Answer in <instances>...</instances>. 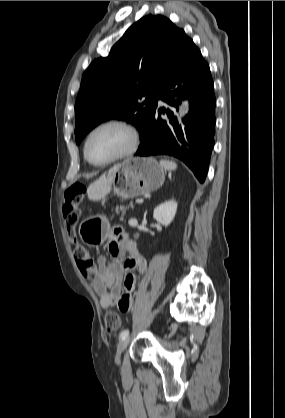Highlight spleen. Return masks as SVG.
Masks as SVG:
<instances>
[{
    "mask_svg": "<svg viewBox=\"0 0 285 418\" xmlns=\"http://www.w3.org/2000/svg\"><path fill=\"white\" fill-rule=\"evenodd\" d=\"M160 165L167 171H173L177 168V164L168 160H160Z\"/></svg>",
    "mask_w": 285,
    "mask_h": 418,
    "instance_id": "3e777b00",
    "label": "spleen"
}]
</instances>
